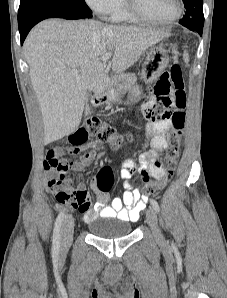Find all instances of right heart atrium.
<instances>
[{
    "instance_id": "right-heart-atrium-1",
    "label": "right heart atrium",
    "mask_w": 227,
    "mask_h": 298,
    "mask_svg": "<svg viewBox=\"0 0 227 298\" xmlns=\"http://www.w3.org/2000/svg\"><path fill=\"white\" fill-rule=\"evenodd\" d=\"M85 2L101 16H111L118 9L121 0H85Z\"/></svg>"
}]
</instances>
